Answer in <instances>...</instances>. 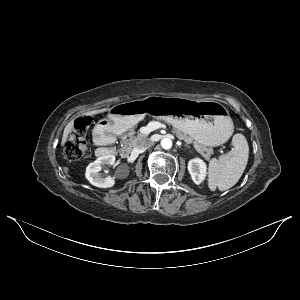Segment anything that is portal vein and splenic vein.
Wrapping results in <instances>:
<instances>
[{"instance_id": "portal-vein-and-splenic-vein-1", "label": "portal vein and splenic vein", "mask_w": 300, "mask_h": 300, "mask_svg": "<svg viewBox=\"0 0 300 300\" xmlns=\"http://www.w3.org/2000/svg\"><path fill=\"white\" fill-rule=\"evenodd\" d=\"M161 123L158 122H151L146 126L147 133H150L153 130L159 129L161 127Z\"/></svg>"}]
</instances>
